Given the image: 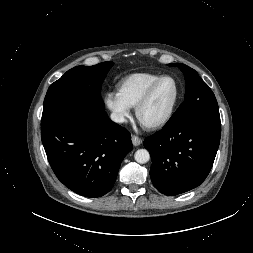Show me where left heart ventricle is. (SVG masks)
<instances>
[{"instance_id":"1","label":"left heart ventricle","mask_w":253,"mask_h":253,"mask_svg":"<svg viewBox=\"0 0 253 253\" xmlns=\"http://www.w3.org/2000/svg\"><path fill=\"white\" fill-rule=\"evenodd\" d=\"M176 95V85L172 79L163 80L155 90L152 98L140 114L143 124H153L161 120L168 112Z\"/></svg>"}]
</instances>
